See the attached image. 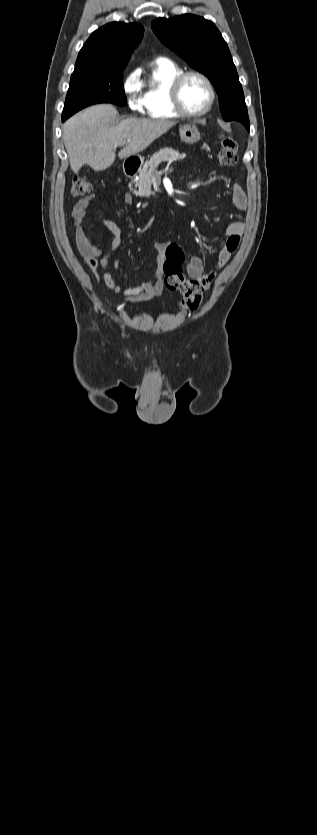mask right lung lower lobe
<instances>
[{"label": "right lung lower lobe", "mask_w": 317, "mask_h": 835, "mask_svg": "<svg viewBox=\"0 0 317 835\" xmlns=\"http://www.w3.org/2000/svg\"><path fill=\"white\" fill-rule=\"evenodd\" d=\"M65 120H66L65 118H62V121H65Z\"/></svg>", "instance_id": "1"}]
</instances>
